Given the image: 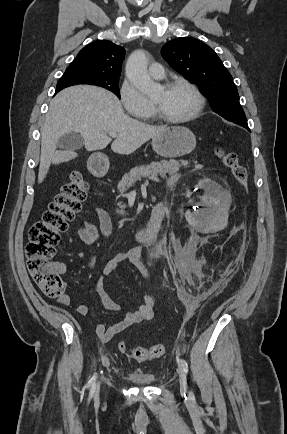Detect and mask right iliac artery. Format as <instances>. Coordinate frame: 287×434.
I'll return each instance as SVG.
<instances>
[{"label": "right iliac artery", "instance_id": "82829eb1", "mask_svg": "<svg viewBox=\"0 0 287 434\" xmlns=\"http://www.w3.org/2000/svg\"><path fill=\"white\" fill-rule=\"evenodd\" d=\"M95 381H96V375H93L87 384L88 388L91 387L90 396H92L95 391Z\"/></svg>", "mask_w": 287, "mask_h": 434}]
</instances>
